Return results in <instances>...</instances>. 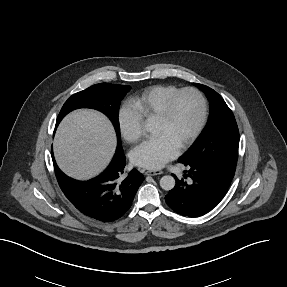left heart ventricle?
I'll use <instances>...</instances> for the list:
<instances>
[{
	"instance_id": "left-heart-ventricle-1",
	"label": "left heart ventricle",
	"mask_w": 287,
	"mask_h": 287,
	"mask_svg": "<svg viewBox=\"0 0 287 287\" xmlns=\"http://www.w3.org/2000/svg\"><path fill=\"white\" fill-rule=\"evenodd\" d=\"M200 117V105L193 94L187 93L177 99L168 122H155V136H165L178 148L188 138Z\"/></svg>"
}]
</instances>
